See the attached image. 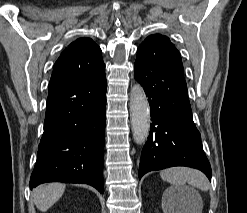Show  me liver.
<instances>
[{"label": "liver", "instance_id": "6515ba94", "mask_svg": "<svg viewBox=\"0 0 247 213\" xmlns=\"http://www.w3.org/2000/svg\"><path fill=\"white\" fill-rule=\"evenodd\" d=\"M65 191V184L49 183L33 190V200L38 210L46 212L56 203Z\"/></svg>", "mask_w": 247, "mask_h": 213}]
</instances>
